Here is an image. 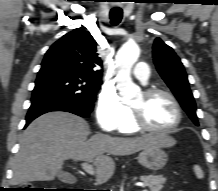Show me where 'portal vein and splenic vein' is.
<instances>
[{
  "label": "portal vein and splenic vein",
  "instance_id": "obj_1",
  "mask_svg": "<svg viewBox=\"0 0 218 191\" xmlns=\"http://www.w3.org/2000/svg\"><path fill=\"white\" fill-rule=\"evenodd\" d=\"M81 167L88 174H90V175H94L95 174L94 168H93V166L90 163L83 162L81 164ZM137 185L140 186V187H144V184H137ZM142 191H148V190L147 189H143Z\"/></svg>",
  "mask_w": 218,
  "mask_h": 191
}]
</instances>
